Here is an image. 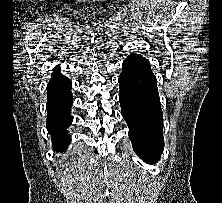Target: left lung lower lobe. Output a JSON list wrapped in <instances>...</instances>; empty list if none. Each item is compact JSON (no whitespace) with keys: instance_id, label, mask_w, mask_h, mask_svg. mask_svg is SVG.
I'll use <instances>...</instances> for the list:
<instances>
[{"instance_id":"1","label":"left lung lower lobe","mask_w":222,"mask_h":203,"mask_svg":"<svg viewBox=\"0 0 222 203\" xmlns=\"http://www.w3.org/2000/svg\"><path fill=\"white\" fill-rule=\"evenodd\" d=\"M118 81L121 112L133 149L145 162L154 163L164 147L163 113L149 61L132 53L123 61Z\"/></svg>"}]
</instances>
